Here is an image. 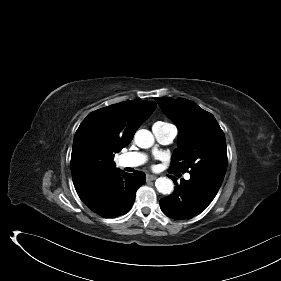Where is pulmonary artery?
I'll use <instances>...</instances> for the list:
<instances>
[{
    "instance_id": "1",
    "label": "pulmonary artery",
    "mask_w": 281,
    "mask_h": 281,
    "mask_svg": "<svg viewBox=\"0 0 281 281\" xmlns=\"http://www.w3.org/2000/svg\"><path fill=\"white\" fill-rule=\"evenodd\" d=\"M155 139L162 145H167L173 142L177 135V129L172 124H154L152 128ZM146 161V155L143 153H127L121 156L120 162L124 167H137ZM186 180L190 179V174H185Z\"/></svg>"
}]
</instances>
